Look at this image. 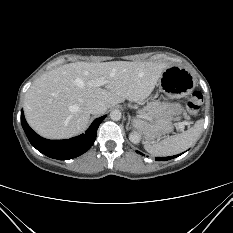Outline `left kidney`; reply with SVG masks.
Instances as JSON below:
<instances>
[{
  "instance_id": "obj_1",
  "label": "left kidney",
  "mask_w": 233,
  "mask_h": 233,
  "mask_svg": "<svg viewBox=\"0 0 233 233\" xmlns=\"http://www.w3.org/2000/svg\"><path fill=\"white\" fill-rule=\"evenodd\" d=\"M129 139L131 142H133L134 144H138L139 140H140V135L137 132H132L129 135Z\"/></svg>"
}]
</instances>
